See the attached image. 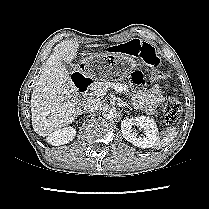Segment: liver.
Masks as SVG:
<instances>
[{"label": "liver", "mask_w": 209, "mask_h": 209, "mask_svg": "<svg viewBox=\"0 0 209 209\" xmlns=\"http://www.w3.org/2000/svg\"><path fill=\"white\" fill-rule=\"evenodd\" d=\"M103 44L86 45V48ZM78 42L66 40L57 44L47 59L31 96L32 126L42 136L71 124L81 104L65 62L72 63L77 56Z\"/></svg>", "instance_id": "liver-1"}]
</instances>
